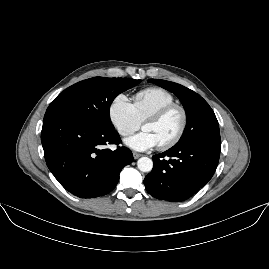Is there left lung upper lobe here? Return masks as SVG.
<instances>
[{
	"instance_id": "obj_1",
	"label": "left lung upper lobe",
	"mask_w": 269,
	"mask_h": 269,
	"mask_svg": "<svg viewBox=\"0 0 269 269\" xmlns=\"http://www.w3.org/2000/svg\"><path fill=\"white\" fill-rule=\"evenodd\" d=\"M170 92H173L182 102L186 114L187 125L176 145L185 146L197 143H211L221 146L219 124L209 104L194 91L174 82L149 79Z\"/></svg>"
}]
</instances>
